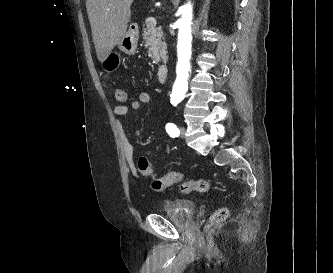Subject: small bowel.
Segmentation results:
<instances>
[{
  "label": "small bowel",
  "mask_w": 333,
  "mask_h": 273,
  "mask_svg": "<svg viewBox=\"0 0 333 273\" xmlns=\"http://www.w3.org/2000/svg\"><path fill=\"white\" fill-rule=\"evenodd\" d=\"M151 99H152V97H151L150 92L142 91L138 94L137 99L133 100L129 106L126 104L117 105L114 108V114L118 119L123 118L128 115L129 109H131L133 111H138L141 109V107L143 105L150 103ZM117 127L121 134L122 146H123V151H124V155H125L127 164L129 166L132 174L138 178L140 176L141 172L138 168V160H136V158H135L134 147H133L129 137L126 134L122 123L119 120H117Z\"/></svg>",
  "instance_id": "1"
}]
</instances>
